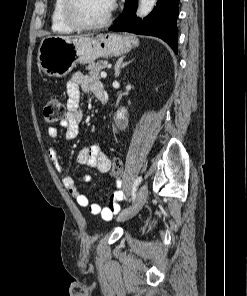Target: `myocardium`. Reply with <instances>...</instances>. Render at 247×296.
Wrapping results in <instances>:
<instances>
[{
	"label": "myocardium",
	"instance_id": "myocardium-1",
	"mask_svg": "<svg viewBox=\"0 0 247 296\" xmlns=\"http://www.w3.org/2000/svg\"><path fill=\"white\" fill-rule=\"evenodd\" d=\"M80 0H65L63 8V16L66 23L74 30L90 31L98 30L107 27L112 21V12L110 11L108 16L99 23L87 24L82 22L77 15V8Z\"/></svg>",
	"mask_w": 247,
	"mask_h": 296
}]
</instances>
